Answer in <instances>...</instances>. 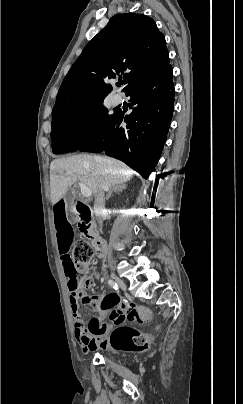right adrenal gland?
<instances>
[{"instance_id":"2a0ac1e0","label":"right adrenal gland","mask_w":243,"mask_h":404,"mask_svg":"<svg viewBox=\"0 0 243 404\" xmlns=\"http://www.w3.org/2000/svg\"><path fill=\"white\" fill-rule=\"evenodd\" d=\"M122 190H125V184H120V186H113V188H111V190H109L106 200H109V198H111L113 192H116V194H119V192H122Z\"/></svg>"}]
</instances>
